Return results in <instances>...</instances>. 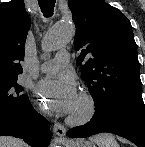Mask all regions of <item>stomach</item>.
Returning <instances> with one entry per match:
<instances>
[{
    "label": "stomach",
    "instance_id": "0dacf381",
    "mask_svg": "<svg viewBox=\"0 0 145 147\" xmlns=\"http://www.w3.org/2000/svg\"><path fill=\"white\" fill-rule=\"evenodd\" d=\"M75 147H94V145L91 142L83 141L79 142Z\"/></svg>",
    "mask_w": 145,
    "mask_h": 147
}]
</instances>
